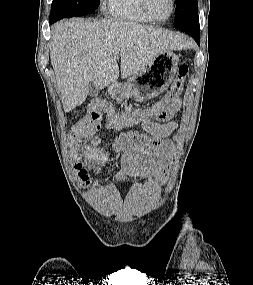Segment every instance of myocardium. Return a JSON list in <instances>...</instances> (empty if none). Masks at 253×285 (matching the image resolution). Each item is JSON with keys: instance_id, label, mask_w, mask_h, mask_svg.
<instances>
[{"instance_id": "1", "label": "myocardium", "mask_w": 253, "mask_h": 285, "mask_svg": "<svg viewBox=\"0 0 253 285\" xmlns=\"http://www.w3.org/2000/svg\"><path fill=\"white\" fill-rule=\"evenodd\" d=\"M171 2V11L169 13V15L166 17V18H163V19H159V18H156L152 15L150 9H149V0H141V7H142V10L144 12V14L153 22H158V23H161V22H165L167 20H169L174 12H175V9H176V1L175 0H170Z\"/></svg>"}]
</instances>
